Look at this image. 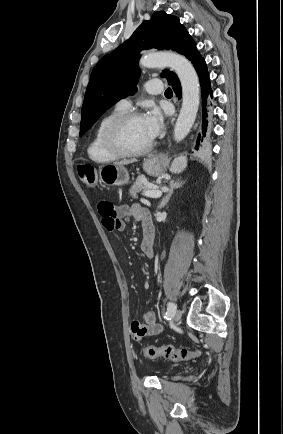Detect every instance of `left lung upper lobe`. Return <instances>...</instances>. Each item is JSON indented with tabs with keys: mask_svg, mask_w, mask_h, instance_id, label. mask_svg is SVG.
Segmentation results:
<instances>
[{
	"mask_svg": "<svg viewBox=\"0 0 283 434\" xmlns=\"http://www.w3.org/2000/svg\"><path fill=\"white\" fill-rule=\"evenodd\" d=\"M150 48L173 50L195 65L202 59L196 42L176 16L155 12L132 36L94 67L82 106L80 136L120 99L133 95L138 81L140 52ZM169 84L178 80L175 73L164 70Z\"/></svg>",
	"mask_w": 283,
	"mask_h": 434,
	"instance_id": "obj_1",
	"label": "left lung upper lobe"
}]
</instances>
